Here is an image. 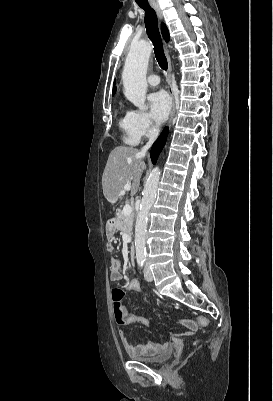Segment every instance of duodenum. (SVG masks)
<instances>
[{"instance_id": "obj_1", "label": "duodenum", "mask_w": 273, "mask_h": 401, "mask_svg": "<svg viewBox=\"0 0 273 401\" xmlns=\"http://www.w3.org/2000/svg\"><path fill=\"white\" fill-rule=\"evenodd\" d=\"M129 260L131 263L135 261V248L133 246L129 249Z\"/></svg>"}]
</instances>
